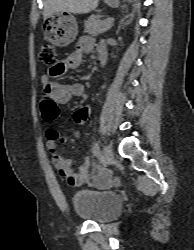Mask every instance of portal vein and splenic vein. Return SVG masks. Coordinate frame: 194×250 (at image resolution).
<instances>
[{"label":"portal vein and splenic vein","mask_w":194,"mask_h":250,"mask_svg":"<svg viewBox=\"0 0 194 250\" xmlns=\"http://www.w3.org/2000/svg\"><path fill=\"white\" fill-rule=\"evenodd\" d=\"M105 21H106V23H110V24H112V23H113V21H114V19H113V18H108V19H106Z\"/></svg>","instance_id":"1"}]
</instances>
